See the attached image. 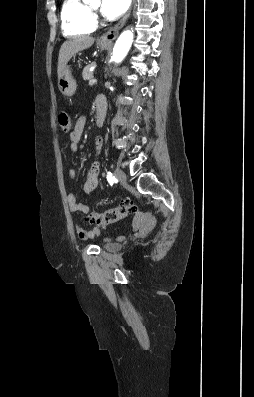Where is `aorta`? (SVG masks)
I'll use <instances>...</instances> for the list:
<instances>
[{
    "mask_svg": "<svg viewBox=\"0 0 254 397\" xmlns=\"http://www.w3.org/2000/svg\"><path fill=\"white\" fill-rule=\"evenodd\" d=\"M93 1V0H87ZM133 42V33L130 30H126L121 33L117 39L114 49L112 59L116 63H120L127 55Z\"/></svg>",
    "mask_w": 254,
    "mask_h": 397,
    "instance_id": "1",
    "label": "aorta"
}]
</instances>
